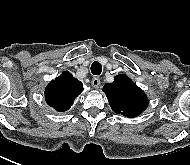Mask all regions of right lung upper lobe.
<instances>
[{
    "label": "right lung upper lobe",
    "instance_id": "1",
    "mask_svg": "<svg viewBox=\"0 0 190 165\" xmlns=\"http://www.w3.org/2000/svg\"><path fill=\"white\" fill-rule=\"evenodd\" d=\"M82 91V82L74 78L70 72L64 71L45 88V100L49 106L64 112L73 105L75 98Z\"/></svg>",
    "mask_w": 190,
    "mask_h": 165
}]
</instances>
